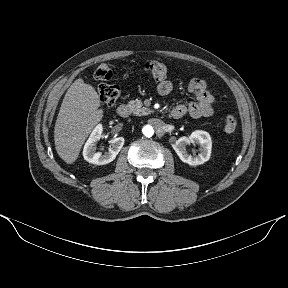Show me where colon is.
Returning <instances> with one entry per match:
<instances>
[{
	"label": "colon",
	"instance_id": "colon-1",
	"mask_svg": "<svg viewBox=\"0 0 288 288\" xmlns=\"http://www.w3.org/2000/svg\"><path fill=\"white\" fill-rule=\"evenodd\" d=\"M144 71L149 77L161 81L164 80L168 73V67L158 61H148L144 64ZM113 76V69L108 64L100 65L95 71V78L101 81L110 80ZM96 91L100 100L107 104L113 105L120 96V88L117 85L99 84L96 86ZM237 127V118L233 114H228L224 119V129L228 133L235 131Z\"/></svg>",
	"mask_w": 288,
	"mask_h": 288
}]
</instances>
